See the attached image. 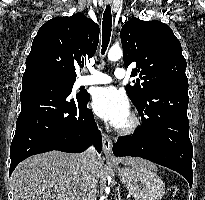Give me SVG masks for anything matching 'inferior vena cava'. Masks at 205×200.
Returning <instances> with one entry per match:
<instances>
[{"mask_svg":"<svg viewBox=\"0 0 205 200\" xmlns=\"http://www.w3.org/2000/svg\"><path fill=\"white\" fill-rule=\"evenodd\" d=\"M96 151L90 146L81 154L82 199L97 200L98 179L95 174Z\"/></svg>","mask_w":205,"mask_h":200,"instance_id":"obj_1","label":"inferior vena cava"}]
</instances>
